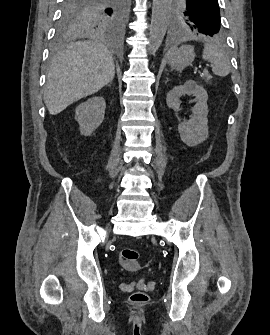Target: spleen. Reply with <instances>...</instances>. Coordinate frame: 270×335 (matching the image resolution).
<instances>
[{"instance_id":"spleen-1","label":"spleen","mask_w":270,"mask_h":335,"mask_svg":"<svg viewBox=\"0 0 270 335\" xmlns=\"http://www.w3.org/2000/svg\"><path fill=\"white\" fill-rule=\"evenodd\" d=\"M194 36H188L187 40H193ZM197 40V38H194ZM204 50H203V60H207V62L214 63L212 66L213 74L216 76H228L229 72H231L230 66V58L225 52L224 44H221L218 40V36H214V38H205Z\"/></svg>"}]
</instances>
